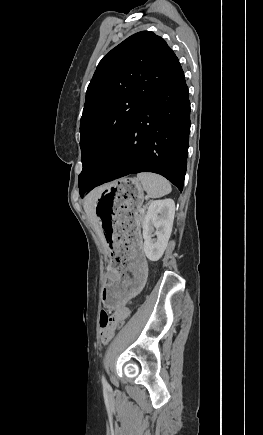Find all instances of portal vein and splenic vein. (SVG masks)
<instances>
[{
  "mask_svg": "<svg viewBox=\"0 0 263 435\" xmlns=\"http://www.w3.org/2000/svg\"><path fill=\"white\" fill-rule=\"evenodd\" d=\"M143 210H144L143 208L140 209L141 212H142Z\"/></svg>",
  "mask_w": 263,
  "mask_h": 435,
  "instance_id": "18ae733b",
  "label": "portal vein and splenic vein"
}]
</instances>
